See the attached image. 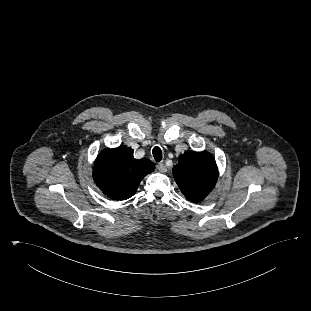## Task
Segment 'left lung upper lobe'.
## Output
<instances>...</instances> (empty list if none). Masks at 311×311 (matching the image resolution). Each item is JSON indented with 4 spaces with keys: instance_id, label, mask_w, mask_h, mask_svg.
Here are the masks:
<instances>
[{
    "instance_id": "obj_1",
    "label": "left lung upper lobe",
    "mask_w": 311,
    "mask_h": 311,
    "mask_svg": "<svg viewBox=\"0 0 311 311\" xmlns=\"http://www.w3.org/2000/svg\"><path fill=\"white\" fill-rule=\"evenodd\" d=\"M172 172L181 192L194 203L201 202L212 191L218 178L216 161L205 151L185 152Z\"/></svg>"
}]
</instances>
